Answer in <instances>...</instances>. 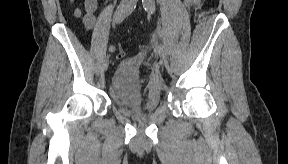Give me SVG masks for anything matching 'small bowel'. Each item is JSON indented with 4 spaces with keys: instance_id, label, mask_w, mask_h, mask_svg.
Instances as JSON below:
<instances>
[{
    "instance_id": "small-bowel-1",
    "label": "small bowel",
    "mask_w": 288,
    "mask_h": 164,
    "mask_svg": "<svg viewBox=\"0 0 288 164\" xmlns=\"http://www.w3.org/2000/svg\"><path fill=\"white\" fill-rule=\"evenodd\" d=\"M96 8H97L96 0H86L84 14L82 13L80 8H76L74 13L76 17L82 18L83 23L87 28H91L95 22Z\"/></svg>"
}]
</instances>
